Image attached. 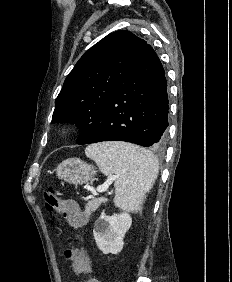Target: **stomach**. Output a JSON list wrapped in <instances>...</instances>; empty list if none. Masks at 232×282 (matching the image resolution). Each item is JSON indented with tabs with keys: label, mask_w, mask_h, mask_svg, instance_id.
Segmentation results:
<instances>
[{
	"label": "stomach",
	"mask_w": 232,
	"mask_h": 282,
	"mask_svg": "<svg viewBox=\"0 0 232 282\" xmlns=\"http://www.w3.org/2000/svg\"><path fill=\"white\" fill-rule=\"evenodd\" d=\"M57 176L74 185L85 184L96 175L94 167L79 158H69L56 168Z\"/></svg>",
	"instance_id": "1"
}]
</instances>
